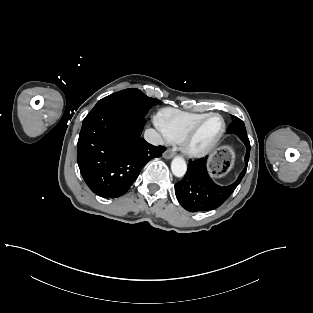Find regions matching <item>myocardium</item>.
I'll list each match as a JSON object with an SVG mask.
<instances>
[{"mask_svg": "<svg viewBox=\"0 0 313 313\" xmlns=\"http://www.w3.org/2000/svg\"><path fill=\"white\" fill-rule=\"evenodd\" d=\"M211 117H219L222 121V128L217 137L206 147L198 148L193 144V139L202 125ZM226 131V121L222 115L218 113H209L204 118H202L199 122H197L194 126H192L188 132L184 135L182 140L180 141L182 151L189 157L200 158L211 153L216 146L221 141Z\"/></svg>", "mask_w": 313, "mask_h": 313, "instance_id": "f54148a6", "label": "myocardium"}]
</instances>
